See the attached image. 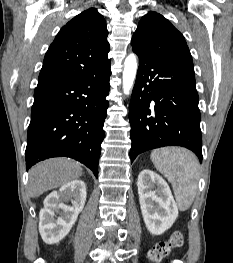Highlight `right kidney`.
I'll return each mask as SVG.
<instances>
[{
    "instance_id": "ca27d5eb",
    "label": "right kidney",
    "mask_w": 233,
    "mask_h": 263,
    "mask_svg": "<svg viewBox=\"0 0 233 263\" xmlns=\"http://www.w3.org/2000/svg\"><path fill=\"white\" fill-rule=\"evenodd\" d=\"M86 196L85 182L73 180L45 198L44 208L39 214V232L45 243L56 244L70 232L84 208ZM68 201L72 206L65 204Z\"/></svg>"
}]
</instances>
